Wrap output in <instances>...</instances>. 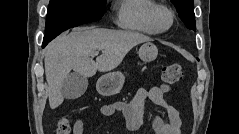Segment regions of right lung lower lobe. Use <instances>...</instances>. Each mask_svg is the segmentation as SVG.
<instances>
[{"mask_svg":"<svg viewBox=\"0 0 239 134\" xmlns=\"http://www.w3.org/2000/svg\"><path fill=\"white\" fill-rule=\"evenodd\" d=\"M51 40H52L51 38H48V39L44 38V40H43V47H44L48 42H50Z\"/></svg>","mask_w":239,"mask_h":134,"instance_id":"right-lung-lower-lobe-1","label":"right lung lower lobe"}]
</instances>
